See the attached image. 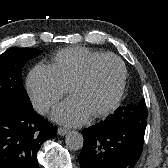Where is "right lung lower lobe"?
Listing matches in <instances>:
<instances>
[{"mask_svg":"<svg viewBox=\"0 0 168 168\" xmlns=\"http://www.w3.org/2000/svg\"><path fill=\"white\" fill-rule=\"evenodd\" d=\"M57 128L32 108L0 103V168H39L37 152Z\"/></svg>","mask_w":168,"mask_h":168,"instance_id":"98d812e1","label":"right lung lower lobe"}]
</instances>
